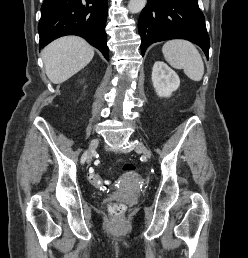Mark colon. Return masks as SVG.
<instances>
[{"instance_id": "5ec220e1", "label": "colon", "mask_w": 248, "mask_h": 258, "mask_svg": "<svg viewBox=\"0 0 248 258\" xmlns=\"http://www.w3.org/2000/svg\"><path fill=\"white\" fill-rule=\"evenodd\" d=\"M123 169L125 171L136 173L139 171L137 166L131 163L124 164ZM87 180H90V182L99 189L106 188L107 182L98 173L94 171H91L89 175H87ZM109 211L112 216L119 218L123 215L125 211V206L124 204L119 202H111L109 204Z\"/></svg>"}]
</instances>
